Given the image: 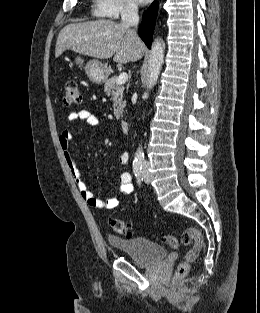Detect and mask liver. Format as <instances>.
Here are the masks:
<instances>
[{
  "label": "liver",
  "mask_w": 260,
  "mask_h": 313,
  "mask_svg": "<svg viewBox=\"0 0 260 313\" xmlns=\"http://www.w3.org/2000/svg\"><path fill=\"white\" fill-rule=\"evenodd\" d=\"M72 50L119 64L135 62L144 52V45L135 30L108 19L72 23L59 33L55 57Z\"/></svg>",
  "instance_id": "6515ba94"
}]
</instances>
